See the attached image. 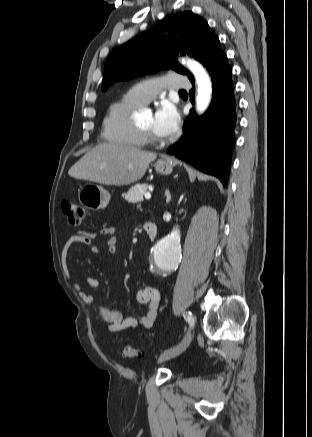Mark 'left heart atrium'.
Masks as SVG:
<instances>
[{
  "label": "left heart atrium",
  "mask_w": 312,
  "mask_h": 437,
  "mask_svg": "<svg viewBox=\"0 0 312 437\" xmlns=\"http://www.w3.org/2000/svg\"><path fill=\"white\" fill-rule=\"evenodd\" d=\"M180 124V115L176 107L164 102L154 114L153 128L157 135L170 137L176 133Z\"/></svg>",
  "instance_id": "left-heart-atrium-1"
}]
</instances>
